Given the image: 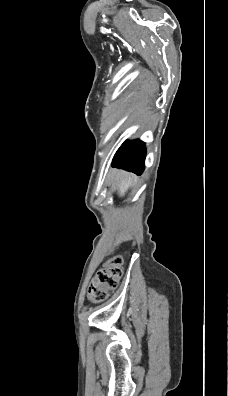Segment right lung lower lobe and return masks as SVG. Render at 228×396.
Returning a JSON list of instances; mask_svg holds the SVG:
<instances>
[{"label": "right lung lower lobe", "instance_id": "obj_1", "mask_svg": "<svg viewBox=\"0 0 228 396\" xmlns=\"http://www.w3.org/2000/svg\"><path fill=\"white\" fill-rule=\"evenodd\" d=\"M145 143L140 140L126 141L113 158V167L122 168L141 175L145 162Z\"/></svg>", "mask_w": 228, "mask_h": 396}]
</instances>
